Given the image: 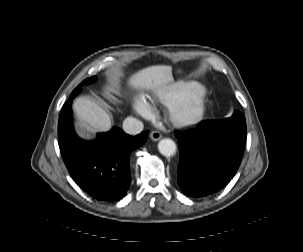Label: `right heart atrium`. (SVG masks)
Segmentation results:
<instances>
[{
    "label": "right heart atrium",
    "instance_id": "d8ad5b80",
    "mask_svg": "<svg viewBox=\"0 0 303 252\" xmlns=\"http://www.w3.org/2000/svg\"><path fill=\"white\" fill-rule=\"evenodd\" d=\"M132 108L136 114L141 117H149L152 114V108L143 100L136 99L132 103Z\"/></svg>",
    "mask_w": 303,
    "mask_h": 252
}]
</instances>
